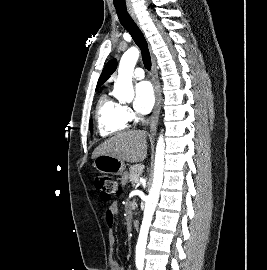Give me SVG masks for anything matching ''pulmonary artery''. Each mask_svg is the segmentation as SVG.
<instances>
[{"label":"pulmonary artery","mask_w":267,"mask_h":270,"mask_svg":"<svg viewBox=\"0 0 267 270\" xmlns=\"http://www.w3.org/2000/svg\"><path fill=\"white\" fill-rule=\"evenodd\" d=\"M133 76H134L135 79H138V80L143 79L144 76H145L144 70L142 68H140V67L136 68L134 70Z\"/></svg>","instance_id":"1"}]
</instances>
